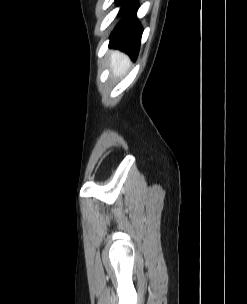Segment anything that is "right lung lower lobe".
<instances>
[{
    "label": "right lung lower lobe",
    "instance_id": "1",
    "mask_svg": "<svg viewBox=\"0 0 247 304\" xmlns=\"http://www.w3.org/2000/svg\"><path fill=\"white\" fill-rule=\"evenodd\" d=\"M117 2L118 5H122L120 13L126 12V15L112 32L109 46L126 52L135 60L143 32L136 17L138 6L135 5V0H117Z\"/></svg>",
    "mask_w": 247,
    "mask_h": 304
}]
</instances>
